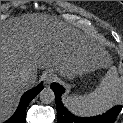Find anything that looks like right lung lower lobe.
<instances>
[{"label":"right lung lower lobe","mask_w":123,"mask_h":123,"mask_svg":"<svg viewBox=\"0 0 123 123\" xmlns=\"http://www.w3.org/2000/svg\"><path fill=\"white\" fill-rule=\"evenodd\" d=\"M44 88L39 84L35 88L25 92L21 98L20 104L13 116L4 123H25L26 108L30 101Z\"/></svg>","instance_id":"98d812e1"}]
</instances>
